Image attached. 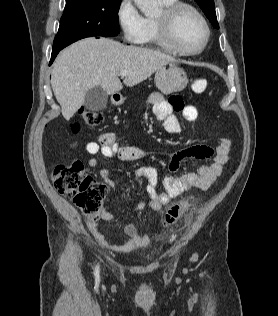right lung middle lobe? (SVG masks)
Here are the masks:
<instances>
[{"label": "right lung middle lobe", "mask_w": 278, "mask_h": 316, "mask_svg": "<svg viewBox=\"0 0 278 316\" xmlns=\"http://www.w3.org/2000/svg\"><path fill=\"white\" fill-rule=\"evenodd\" d=\"M121 0H66L52 50L90 36H116Z\"/></svg>", "instance_id": "obj_1"}]
</instances>
